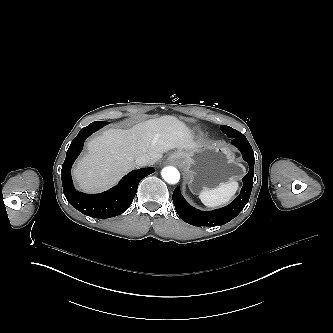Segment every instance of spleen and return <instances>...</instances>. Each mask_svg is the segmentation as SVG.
Listing matches in <instances>:
<instances>
[{"instance_id":"obj_1","label":"spleen","mask_w":333,"mask_h":333,"mask_svg":"<svg viewBox=\"0 0 333 333\" xmlns=\"http://www.w3.org/2000/svg\"><path fill=\"white\" fill-rule=\"evenodd\" d=\"M239 188L237 181H230L220 183L218 187L213 189H204L199 198L201 202L207 207H217L230 202L232 197L236 194Z\"/></svg>"}]
</instances>
